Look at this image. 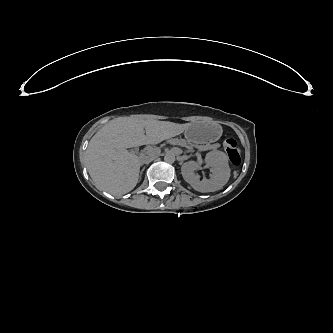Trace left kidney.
<instances>
[{
    "label": "left kidney",
    "instance_id": "obj_1",
    "mask_svg": "<svg viewBox=\"0 0 333 333\" xmlns=\"http://www.w3.org/2000/svg\"><path fill=\"white\" fill-rule=\"evenodd\" d=\"M210 168V178H203L196 173L202 164ZM184 180L196 191L207 193L220 190L229 180L231 169L226 155L221 151H211L205 156L204 161H187L181 168Z\"/></svg>",
    "mask_w": 333,
    "mask_h": 333
}]
</instances>
